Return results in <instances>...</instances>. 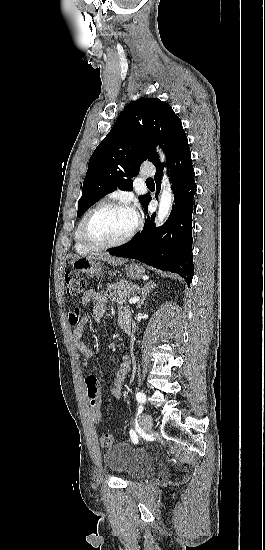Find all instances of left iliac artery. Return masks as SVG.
Returning <instances> with one entry per match:
<instances>
[{
	"mask_svg": "<svg viewBox=\"0 0 265 550\" xmlns=\"http://www.w3.org/2000/svg\"><path fill=\"white\" fill-rule=\"evenodd\" d=\"M136 399H137V401H138L139 403L143 404V403H145V401H146V396H145L144 393L138 392V393L136 394ZM141 407H142V406H141ZM141 407H140V408H141ZM130 436H131L132 442H133L134 444H137V443H138V437H137L136 433H135L133 430H130Z\"/></svg>",
	"mask_w": 265,
	"mask_h": 550,
	"instance_id": "obj_1",
	"label": "left iliac artery"
}]
</instances>
